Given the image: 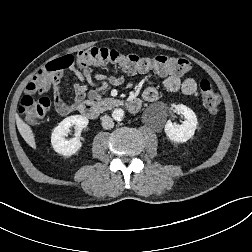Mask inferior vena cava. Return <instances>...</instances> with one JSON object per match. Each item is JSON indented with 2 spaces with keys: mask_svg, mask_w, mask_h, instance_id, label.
<instances>
[{
  "mask_svg": "<svg viewBox=\"0 0 252 252\" xmlns=\"http://www.w3.org/2000/svg\"><path fill=\"white\" fill-rule=\"evenodd\" d=\"M101 121H102V127L104 129H111L114 127L113 119L110 116L104 115L101 118Z\"/></svg>",
  "mask_w": 252,
  "mask_h": 252,
  "instance_id": "inferior-vena-cava-1",
  "label": "inferior vena cava"
}]
</instances>
